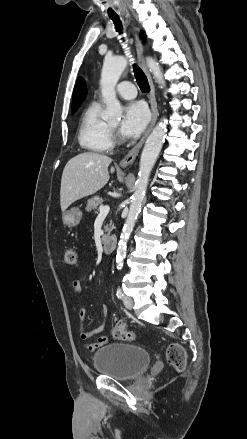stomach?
<instances>
[{"instance_id":"stomach-1","label":"stomach","mask_w":247,"mask_h":439,"mask_svg":"<svg viewBox=\"0 0 247 439\" xmlns=\"http://www.w3.org/2000/svg\"><path fill=\"white\" fill-rule=\"evenodd\" d=\"M82 218V212L78 208H71L63 212V223L69 227L77 226Z\"/></svg>"}]
</instances>
